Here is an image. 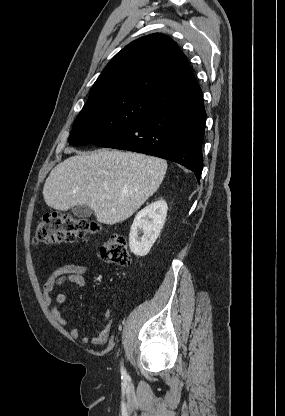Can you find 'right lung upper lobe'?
I'll return each instance as SVG.
<instances>
[{
    "instance_id": "cb5924a9",
    "label": "right lung upper lobe",
    "mask_w": 285,
    "mask_h": 416,
    "mask_svg": "<svg viewBox=\"0 0 285 416\" xmlns=\"http://www.w3.org/2000/svg\"><path fill=\"white\" fill-rule=\"evenodd\" d=\"M200 92L176 42L154 33L131 42L112 58L93 84L83 108L129 96L162 107Z\"/></svg>"
}]
</instances>
